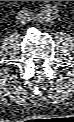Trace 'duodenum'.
<instances>
[{
    "label": "duodenum",
    "mask_w": 74,
    "mask_h": 122,
    "mask_svg": "<svg viewBox=\"0 0 74 122\" xmlns=\"http://www.w3.org/2000/svg\"><path fill=\"white\" fill-rule=\"evenodd\" d=\"M42 18H46V17L43 16V15H39V16H38V19H42Z\"/></svg>",
    "instance_id": "410a0bca"
}]
</instances>
